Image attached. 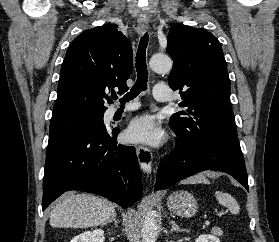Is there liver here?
<instances>
[{"mask_svg":"<svg viewBox=\"0 0 279 242\" xmlns=\"http://www.w3.org/2000/svg\"><path fill=\"white\" fill-rule=\"evenodd\" d=\"M207 183L204 176L189 178L185 183ZM115 213V205L97 196L68 192L52 206L49 223L52 227L87 228L103 225Z\"/></svg>","mask_w":279,"mask_h":242,"instance_id":"liver-1","label":"liver"}]
</instances>
